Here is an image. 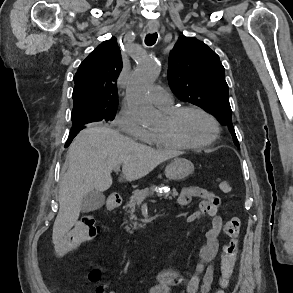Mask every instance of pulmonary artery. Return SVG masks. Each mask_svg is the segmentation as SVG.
Listing matches in <instances>:
<instances>
[{"instance_id":"1","label":"pulmonary artery","mask_w":293,"mask_h":293,"mask_svg":"<svg viewBox=\"0 0 293 293\" xmlns=\"http://www.w3.org/2000/svg\"><path fill=\"white\" fill-rule=\"evenodd\" d=\"M149 98L154 105L168 110L171 109L173 103L172 95L166 91L163 87L155 85L150 89Z\"/></svg>"}]
</instances>
